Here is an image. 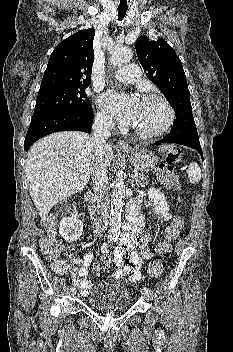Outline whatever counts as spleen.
<instances>
[{"label": "spleen", "mask_w": 233, "mask_h": 352, "mask_svg": "<svg viewBox=\"0 0 233 352\" xmlns=\"http://www.w3.org/2000/svg\"><path fill=\"white\" fill-rule=\"evenodd\" d=\"M187 174L191 183H199L201 179V169L196 162L190 163Z\"/></svg>", "instance_id": "3e777b00"}]
</instances>
